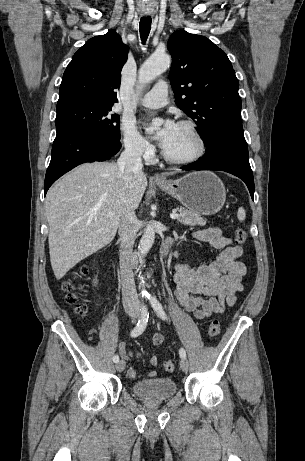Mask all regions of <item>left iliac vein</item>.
Returning a JSON list of instances; mask_svg holds the SVG:
<instances>
[{
  "instance_id": "left-iliac-vein-1",
  "label": "left iliac vein",
  "mask_w": 305,
  "mask_h": 461,
  "mask_svg": "<svg viewBox=\"0 0 305 461\" xmlns=\"http://www.w3.org/2000/svg\"><path fill=\"white\" fill-rule=\"evenodd\" d=\"M180 367H181L182 371H184V372H187V371H188L189 364H188V361H187L185 358H182V359H181V361H180Z\"/></svg>"
}]
</instances>
